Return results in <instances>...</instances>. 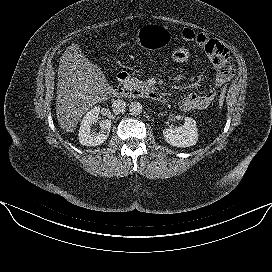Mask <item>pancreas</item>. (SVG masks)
Wrapping results in <instances>:
<instances>
[{
  "label": "pancreas",
  "mask_w": 272,
  "mask_h": 272,
  "mask_svg": "<svg viewBox=\"0 0 272 272\" xmlns=\"http://www.w3.org/2000/svg\"><path fill=\"white\" fill-rule=\"evenodd\" d=\"M132 81H133L132 87H133L134 89L137 88V87H139L140 85L143 84V82L139 81V80L136 79V78H133Z\"/></svg>",
  "instance_id": "pancreas-1"
}]
</instances>
